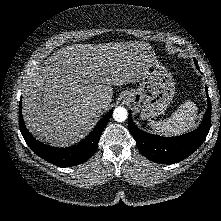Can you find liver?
Segmentation results:
<instances>
[{
  "label": "liver",
  "instance_id": "obj_1",
  "mask_svg": "<svg viewBox=\"0 0 221 221\" xmlns=\"http://www.w3.org/2000/svg\"><path fill=\"white\" fill-rule=\"evenodd\" d=\"M156 61L143 42L76 44L62 47L36 67L25 84L22 114L39 140L70 146L91 130L94 102L107 109L112 86L138 82L148 63Z\"/></svg>",
  "mask_w": 221,
  "mask_h": 221
}]
</instances>
